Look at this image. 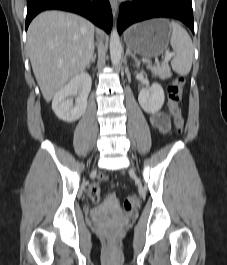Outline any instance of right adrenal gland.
I'll list each match as a JSON object with an SVG mask.
<instances>
[{
  "instance_id": "2a0ac1e0",
  "label": "right adrenal gland",
  "mask_w": 227,
  "mask_h": 265,
  "mask_svg": "<svg viewBox=\"0 0 227 265\" xmlns=\"http://www.w3.org/2000/svg\"><path fill=\"white\" fill-rule=\"evenodd\" d=\"M95 60H96V54L94 53V54L92 55V57H91L90 62H89L88 65H87V68H89L90 65H91V63L95 62Z\"/></svg>"
}]
</instances>
